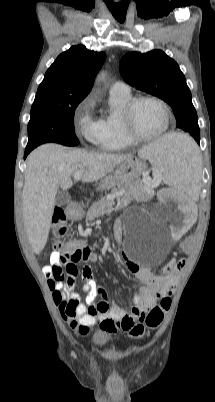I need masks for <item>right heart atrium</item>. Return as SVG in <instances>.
Returning <instances> with one entry per match:
<instances>
[{
	"label": "right heart atrium",
	"instance_id": "d8ad5b80",
	"mask_svg": "<svg viewBox=\"0 0 215 402\" xmlns=\"http://www.w3.org/2000/svg\"><path fill=\"white\" fill-rule=\"evenodd\" d=\"M93 102L87 98L82 101L75 112L76 132L85 142L97 145L102 136L101 120L92 116Z\"/></svg>",
	"mask_w": 215,
	"mask_h": 402
}]
</instances>
